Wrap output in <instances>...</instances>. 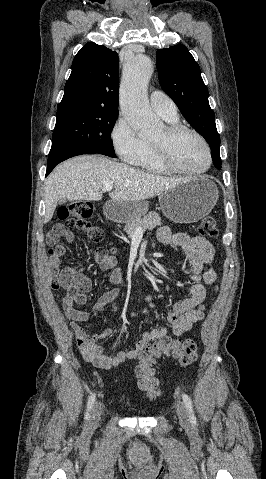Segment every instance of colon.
Segmentation results:
<instances>
[{"instance_id":"5ec220e1","label":"colon","mask_w":266,"mask_h":479,"mask_svg":"<svg viewBox=\"0 0 266 479\" xmlns=\"http://www.w3.org/2000/svg\"><path fill=\"white\" fill-rule=\"evenodd\" d=\"M93 205L90 201H75L58 210V218L63 224L57 225L47 235V242L53 245L49 254L57 262L64 254L65 248L55 244L64 230H77L88 237L92 242L102 241L103 231L90 222ZM199 232L206 237H217L216 220L205 217L199 227ZM163 355L176 358L180 365L188 366L198 358V343L193 339H172L164 337L150 341L139 354V362L135 368L137 384L143 394L149 399H156L160 394L159 381L155 376V364Z\"/></svg>"}]
</instances>
